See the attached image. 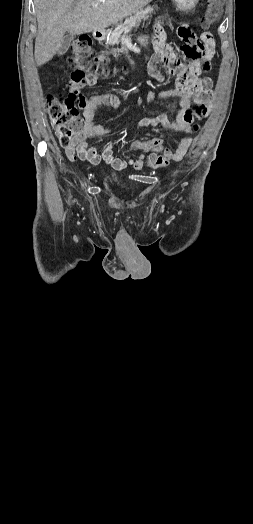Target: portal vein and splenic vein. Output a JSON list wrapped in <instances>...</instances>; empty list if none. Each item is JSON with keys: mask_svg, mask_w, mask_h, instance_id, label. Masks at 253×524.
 Listing matches in <instances>:
<instances>
[{"mask_svg": "<svg viewBox=\"0 0 253 524\" xmlns=\"http://www.w3.org/2000/svg\"><path fill=\"white\" fill-rule=\"evenodd\" d=\"M92 6H93V7H97L98 4H97V3H92Z\"/></svg>", "mask_w": 253, "mask_h": 524, "instance_id": "18ae733b", "label": "portal vein and splenic vein"}]
</instances>
